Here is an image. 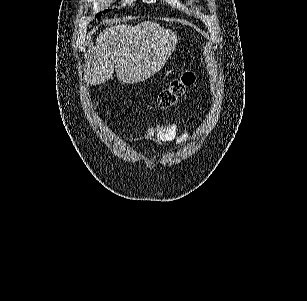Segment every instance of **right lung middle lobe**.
Segmentation results:
<instances>
[{"mask_svg": "<svg viewBox=\"0 0 307 301\" xmlns=\"http://www.w3.org/2000/svg\"><path fill=\"white\" fill-rule=\"evenodd\" d=\"M107 11H109V10H105L104 13H106ZM96 17H97L98 19H100L101 13H98V14L96 15Z\"/></svg>", "mask_w": 307, "mask_h": 301, "instance_id": "dd1d6c3e", "label": "right lung middle lobe"}]
</instances>
